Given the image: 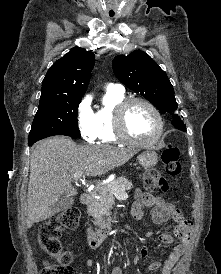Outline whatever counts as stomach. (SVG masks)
Here are the masks:
<instances>
[{"label": "stomach", "instance_id": "1", "mask_svg": "<svg viewBox=\"0 0 221 274\" xmlns=\"http://www.w3.org/2000/svg\"><path fill=\"white\" fill-rule=\"evenodd\" d=\"M138 160L142 167L150 168L157 164L158 154L154 150H146L138 156Z\"/></svg>", "mask_w": 221, "mask_h": 274}]
</instances>
